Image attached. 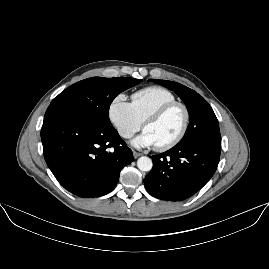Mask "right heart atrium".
<instances>
[{
  "mask_svg": "<svg viewBox=\"0 0 269 269\" xmlns=\"http://www.w3.org/2000/svg\"><path fill=\"white\" fill-rule=\"evenodd\" d=\"M108 117L117 133L123 138H130L142 128V122L137 118L131 103L123 94L115 96L111 101Z\"/></svg>",
  "mask_w": 269,
  "mask_h": 269,
  "instance_id": "d8ad5b80",
  "label": "right heart atrium"
}]
</instances>
